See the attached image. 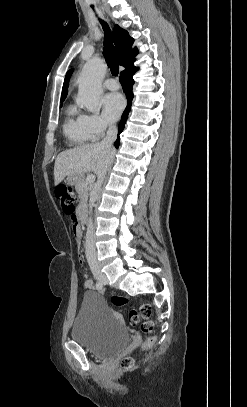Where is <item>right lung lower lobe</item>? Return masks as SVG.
<instances>
[{"label": "right lung lower lobe", "mask_w": 247, "mask_h": 407, "mask_svg": "<svg viewBox=\"0 0 247 407\" xmlns=\"http://www.w3.org/2000/svg\"><path fill=\"white\" fill-rule=\"evenodd\" d=\"M137 70H138V68L135 67L134 65H132V66L126 68L120 74V83L122 84L123 90L126 94L128 104H127L126 109L123 112L122 118L118 125V136H117V140L114 143L116 148H118V146H119V133H121L124 129V125L126 123V120L128 118V113L131 108V102L133 99L132 86L134 84L133 75L136 73Z\"/></svg>", "instance_id": "obj_1"}]
</instances>
